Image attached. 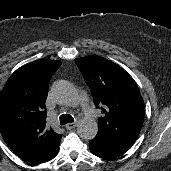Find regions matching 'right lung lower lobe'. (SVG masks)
I'll return each mask as SVG.
<instances>
[{"label": "right lung lower lobe", "instance_id": "right-lung-lower-lobe-1", "mask_svg": "<svg viewBox=\"0 0 171 171\" xmlns=\"http://www.w3.org/2000/svg\"><path fill=\"white\" fill-rule=\"evenodd\" d=\"M57 153H58V150L56 151V153L54 154V156H53L51 159H53V158L57 155ZM51 159H50V160H51Z\"/></svg>", "mask_w": 171, "mask_h": 171}]
</instances>
